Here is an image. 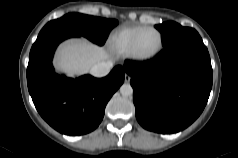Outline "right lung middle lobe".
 <instances>
[{"label": "right lung middle lobe", "instance_id": "dd1d6c3e", "mask_svg": "<svg viewBox=\"0 0 238 158\" xmlns=\"http://www.w3.org/2000/svg\"><path fill=\"white\" fill-rule=\"evenodd\" d=\"M117 23L118 21L114 19H105L80 13H69L59 19L48 22L39 34L53 29L70 30L98 45H103L109 32Z\"/></svg>", "mask_w": 238, "mask_h": 158}]
</instances>
